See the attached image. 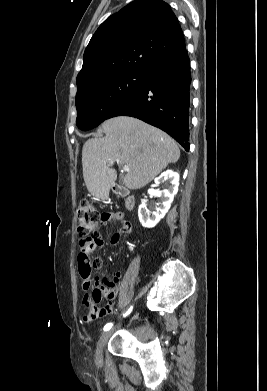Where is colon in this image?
Here are the masks:
<instances>
[{"label": "colon", "mask_w": 267, "mask_h": 391, "mask_svg": "<svg viewBox=\"0 0 267 391\" xmlns=\"http://www.w3.org/2000/svg\"><path fill=\"white\" fill-rule=\"evenodd\" d=\"M76 219L80 253H90L102 244L97 233L101 216L90 201L83 200L77 208Z\"/></svg>", "instance_id": "colon-1"}]
</instances>
